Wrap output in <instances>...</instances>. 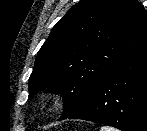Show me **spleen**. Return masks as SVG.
<instances>
[{
	"label": "spleen",
	"mask_w": 147,
	"mask_h": 131,
	"mask_svg": "<svg viewBox=\"0 0 147 131\" xmlns=\"http://www.w3.org/2000/svg\"><path fill=\"white\" fill-rule=\"evenodd\" d=\"M100 131H118V130L109 126H102Z\"/></svg>",
	"instance_id": "1"
}]
</instances>
